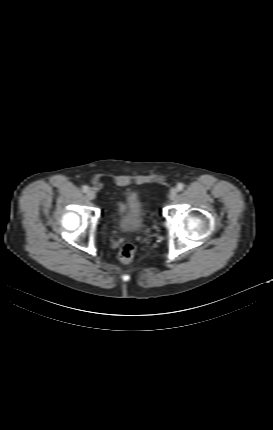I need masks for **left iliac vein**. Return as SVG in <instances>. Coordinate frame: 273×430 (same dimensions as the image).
Segmentation results:
<instances>
[{
  "mask_svg": "<svg viewBox=\"0 0 273 430\" xmlns=\"http://www.w3.org/2000/svg\"><path fill=\"white\" fill-rule=\"evenodd\" d=\"M176 196H177V190L176 189H172L170 191V193H169V199L170 200H175Z\"/></svg>",
  "mask_w": 273,
  "mask_h": 430,
  "instance_id": "left-iliac-vein-1",
  "label": "left iliac vein"
}]
</instances>
